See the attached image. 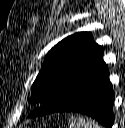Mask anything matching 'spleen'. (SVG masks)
Returning <instances> with one entry per match:
<instances>
[{
    "label": "spleen",
    "mask_w": 125,
    "mask_h": 128,
    "mask_svg": "<svg viewBox=\"0 0 125 128\" xmlns=\"http://www.w3.org/2000/svg\"><path fill=\"white\" fill-rule=\"evenodd\" d=\"M69 128H101L93 119L84 117H71Z\"/></svg>",
    "instance_id": "1"
}]
</instances>
